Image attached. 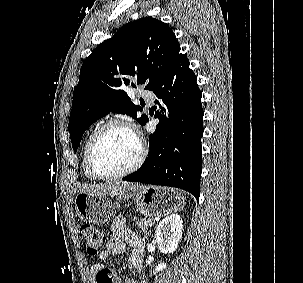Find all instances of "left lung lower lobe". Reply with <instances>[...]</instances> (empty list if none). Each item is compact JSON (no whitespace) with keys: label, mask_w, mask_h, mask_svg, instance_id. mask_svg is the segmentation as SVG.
<instances>
[{"label":"left lung lower lobe","mask_w":303,"mask_h":283,"mask_svg":"<svg viewBox=\"0 0 303 283\" xmlns=\"http://www.w3.org/2000/svg\"><path fill=\"white\" fill-rule=\"evenodd\" d=\"M189 65L185 55L180 54L153 88L160 99L155 101L159 105L155 114L159 123L149 136L145 162L123 180L181 188L198 200L204 112L197 77Z\"/></svg>","instance_id":"0a47b994"}]
</instances>
